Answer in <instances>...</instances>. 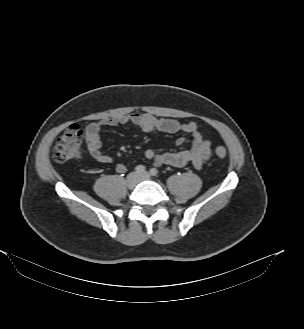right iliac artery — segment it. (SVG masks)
<instances>
[{"label":"right iliac artery","instance_id":"82829eb1","mask_svg":"<svg viewBox=\"0 0 304 329\" xmlns=\"http://www.w3.org/2000/svg\"><path fill=\"white\" fill-rule=\"evenodd\" d=\"M135 172L138 173V174H141V173L145 172V166H143V165L136 166Z\"/></svg>","mask_w":304,"mask_h":329}]
</instances>
